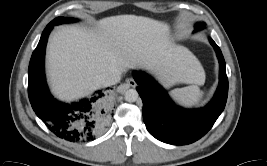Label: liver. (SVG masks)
Listing matches in <instances>:
<instances>
[{
    "instance_id": "1",
    "label": "liver",
    "mask_w": 267,
    "mask_h": 166,
    "mask_svg": "<svg viewBox=\"0 0 267 166\" xmlns=\"http://www.w3.org/2000/svg\"><path fill=\"white\" fill-rule=\"evenodd\" d=\"M130 68L156 72L171 82L202 85L196 57L172 43L167 24L143 16L103 18L95 27H63L50 38L47 69L53 92L72 100L102 85L99 77Z\"/></svg>"
}]
</instances>
